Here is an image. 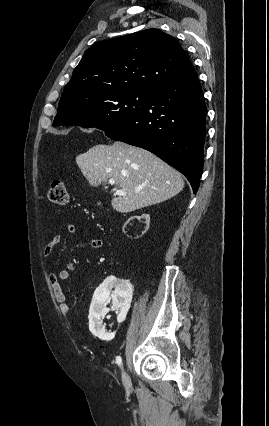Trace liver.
Segmentation results:
<instances>
[{
    "mask_svg": "<svg viewBox=\"0 0 269 426\" xmlns=\"http://www.w3.org/2000/svg\"><path fill=\"white\" fill-rule=\"evenodd\" d=\"M82 174L93 187L108 179L126 195H117L112 207L129 213L164 202L184 188L181 174L153 153L120 141L99 144L76 157Z\"/></svg>",
    "mask_w": 269,
    "mask_h": 426,
    "instance_id": "1",
    "label": "liver"
}]
</instances>
